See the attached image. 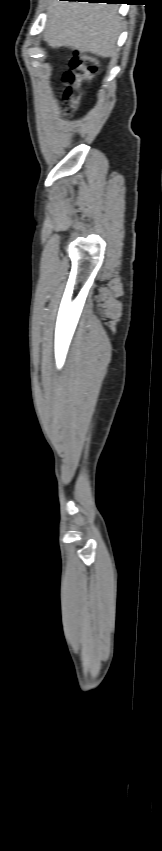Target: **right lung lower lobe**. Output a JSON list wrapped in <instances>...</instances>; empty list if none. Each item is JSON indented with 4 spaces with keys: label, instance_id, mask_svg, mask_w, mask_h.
Returning <instances> with one entry per match:
<instances>
[{
    "label": "right lung lower lobe",
    "instance_id": "1",
    "mask_svg": "<svg viewBox=\"0 0 162 851\" xmlns=\"http://www.w3.org/2000/svg\"><path fill=\"white\" fill-rule=\"evenodd\" d=\"M68 1H87V2H98V3H108V4H119V3L125 2V0H68Z\"/></svg>",
    "mask_w": 162,
    "mask_h": 851
}]
</instances>
